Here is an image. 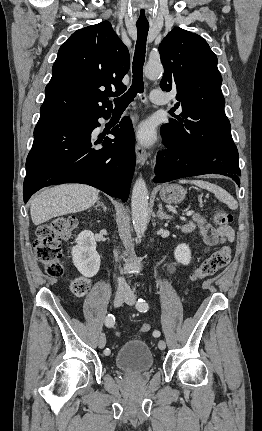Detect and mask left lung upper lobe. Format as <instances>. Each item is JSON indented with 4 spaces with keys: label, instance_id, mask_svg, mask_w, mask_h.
<instances>
[{
    "label": "left lung upper lobe",
    "instance_id": "5c2ea615",
    "mask_svg": "<svg viewBox=\"0 0 262 431\" xmlns=\"http://www.w3.org/2000/svg\"><path fill=\"white\" fill-rule=\"evenodd\" d=\"M159 53L164 66L160 86L177 90L173 110L182 109L162 125V137L177 149L221 152L233 140L216 55L201 36L181 28L168 33Z\"/></svg>",
    "mask_w": 262,
    "mask_h": 431
}]
</instances>
